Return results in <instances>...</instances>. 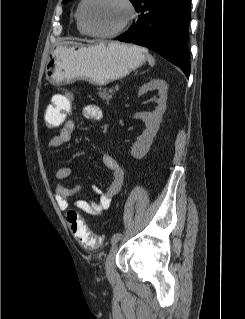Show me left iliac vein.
I'll list each match as a JSON object with an SVG mask.
<instances>
[{
  "label": "left iliac vein",
  "mask_w": 245,
  "mask_h": 319,
  "mask_svg": "<svg viewBox=\"0 0 245 319\" xmlns=\"http://www.w3.org/2000/svg\"><path fill=\"white\" fill-rule=\"evenodd\" d=\"M118 249H119V247H118L117 242L113 243V245L110 249V252L107 256V259H106L105 270H106L107 278L109 280L114 279V260H115L116 254L118 252Z\"/></svg>",
  "instance_id": "4c4485c4"
}]
</instances>
